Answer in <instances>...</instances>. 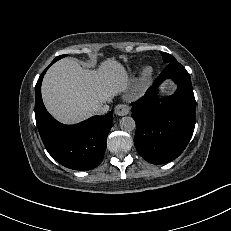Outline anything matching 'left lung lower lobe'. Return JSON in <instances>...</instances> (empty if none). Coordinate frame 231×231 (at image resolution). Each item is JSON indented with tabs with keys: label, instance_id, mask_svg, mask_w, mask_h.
Listing matches in <instances>:
<instances>
[{
	"label": "left lung lower lobe",
	"instance_id": "0a47b994",
	"mask_svg": "<svg viewBox=\"0 0 231 231\" xmlns=\"http://www.w3.org/2000/svg\"><path fill=\"white\" fill-rule=\"evenodd\" d=\"M171 78L177 91L162 103L155 98L156 87ZM136 122L135 147L148 162L164 164L177 158L186 148L195 127V98L190 75L179 62L169 63L154 88L132 103Z\"/></svg>",
	"mask_w": 231,
	"mask_h": 231
}]
</instances>
